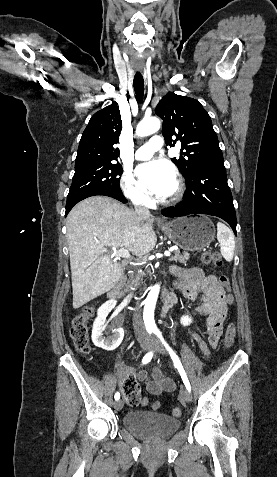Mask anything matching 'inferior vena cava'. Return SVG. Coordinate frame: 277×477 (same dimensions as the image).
<instances>
[{"mask_svg": "<svg viewBox=\"0 0 277 477\" xmlns=\"http://www.w3.org/2000/svg\"><path fill=\"white\" fill-rule=\"evenodd\" d=\"M135 213L143 218H147L150 216V211L148 208L142 204H134ZM133 329L134 333L138 340H142L147 337V332L144 326V322L142 320L141 314L139 311H136L133 316Z\"/></svg>", "mask_w": 277, "mask_h": 477, "instance_id": "inferior-vena-cava-1", "label": "inferior vena cava"}]
</instances>
